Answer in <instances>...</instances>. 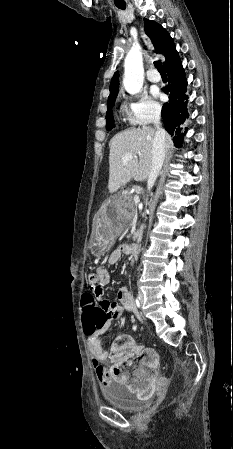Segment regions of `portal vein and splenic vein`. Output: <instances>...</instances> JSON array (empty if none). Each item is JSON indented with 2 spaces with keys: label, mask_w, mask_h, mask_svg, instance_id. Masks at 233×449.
<instances>
[{
  "label": "portal vein and splenic vein",
  "mask_w": 233,
  "mask_h": 449,
  "mask_svg": "<svg viewBox=\"0 0 233 449\" xmlns=\"http://www.w3.org/2000/svg\"><path fill=\"white\" fill-rule=\"evenodd\" d=\"M134 158V155L133 154H127L125 157H123L122 158V162L123 163H125V162H127L128 160H130V159H133ZM139 196L136 194V195H134V202H135V204H138L139 203Z\"/></svg>",
  "instance_id": "1"
}]
</instances>
